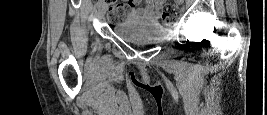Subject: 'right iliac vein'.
Segmentation results:
<instances>
[{
    "instance_id": "obj_1",
    "label": "right iliac vein",
    "mask_w": 267,
    "mask_h": 115,
    "mask_svg": "<svg viewBox=\"0 0 267 115\" xmlns=\"http://www.w3.org/2000/svg\"><path fill=\"white\" fill-rule=\"evenodd\" d=\"M105 13H106V6L102 5L100 8H99V11H98V18L100 20H102L105 16Z\"/></svg>"
}]
</instances>
